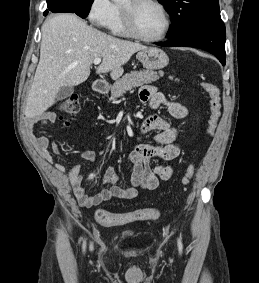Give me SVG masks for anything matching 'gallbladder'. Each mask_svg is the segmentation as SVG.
Masks as SVG:
<instances>
[{
    "instance_id": "obj_1",
    "label": "gallbladder",
    "mask_w": 259,
    "mask_h": 283,
    "mask_svg": "<svg viewBox=\"0 0 259 283\" xmlns=\"http://www.w3.org/2000/svg\"><path fill=\"white\" fill-rule=\"evenodd\" d=\"M74 93V88L72 86L62 87L57 93L56 100L61 101L68 98Z\"/></svg>"
}]
</instances>
